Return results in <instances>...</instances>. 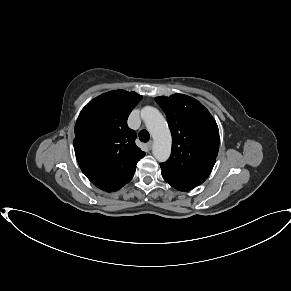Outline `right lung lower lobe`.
<instances>
[{
	"mask_svg": "<svg viewBox=\"0 0 291 291\" xmlns=\"http://www.w3.org/2000/svg\"><path fill=\"white\" fill-rule=\"evenodd\" d=\"M134 173L135 171L131 173L129 176L121 180L94 182V185L98 187L99 189L107 191V192L117 191L132 179Z\"/></svg>",
	"mask_w": 291,
	"mask_h": 291,
	"instance_id": "obj_1",
	"label": "right lung lower lobe"
}]
</instances>
